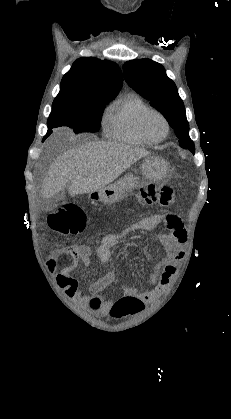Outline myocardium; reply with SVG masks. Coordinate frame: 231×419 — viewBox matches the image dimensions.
I'll return each mask as SVG.
<instances>
[{
    "instance_id": "f54148a6",
    "label": "myocardium",
    "mask_w": 231,
    "mask_h": 419,
    "mask_svg": "<svg viewBox=\"0 0 231 419\" xmlns=\"http://www.w3.org/2000/svg\"><path fill=\"white\" fill-rule=\"evenodd\" d=\"M152 114L158 115L165 124V133L160 138H153L146 131L145 122L147 118ZM138 129H139L140 134L143 136V138L146 139L149 143H158V142L163 141L168 136L169 131H170V124L167 117L162 112L156 109H149L140 116L139 121H138Z\"/></svg>"
}]
</instances>
